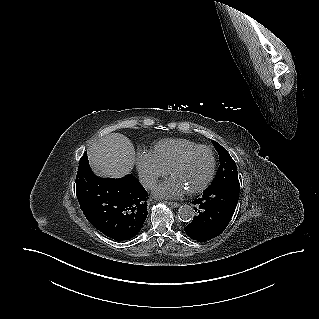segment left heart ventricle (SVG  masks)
Masks as SVG:
<instances>
[{"mask_svg":"<svg viewBox=\"0 0 319 319\" xmlns=\"http://www.w3.org/2000/svg\"><path fill=\"white\" fill-rule=\"evenodd\" d=\"M211 168V156L205 150L191 155L173 173L172 178L178 181L186 191L201 185Z\"/></svg>","mask_w":319,"mask_h":319,"instance_id":"left-heart-ventricle-1","label":"left heart ventricle"}]
</instances>
